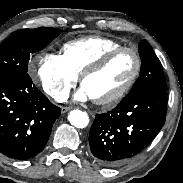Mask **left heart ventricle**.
<instances>
[{"mask_svg": "<svg viewBox=\"0 0 183 183\" xmlns=\"http://www.w3.org/2000/svg\"><path fill=\"white\" fill-rule=\"evenodd\" d=\"M134 68L133 54L121 52L101 71L86 78L83 87L93 99L107 98L125 86Z\"/></svg>", "mask_w": 183, "mask_h": 183, "instance_id": "1", "label": "left heart ventricle"}]
</instances>
